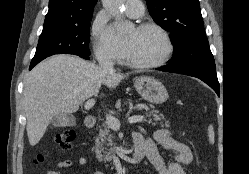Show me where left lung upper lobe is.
I'll list each match as a JSON object with an SVG mask.
<instances>
[{
	"instance_id": "left-lung-upper-lobe-1",
	"label": "left lung upper lobe",
	"mask_w": 249,
	"mask_h": 174,
	"mask_svg": "<svg viewBox=\"0 0 249 174\" xmlns=\"http://www.w3.org/2000/svg\"><path fill=\"white\" fill-rule=\"evenodd\" d=\"M153 20L170 33L171 68L215 67L205 34L199 0H146Z\"/></svg>"
}]
</instances>
